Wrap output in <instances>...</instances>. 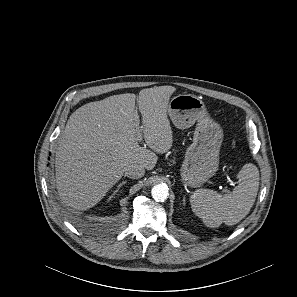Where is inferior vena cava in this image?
<instances>
[{
	"instance_id": "inferior-vena-cava-1",
	"label": "inferior vena cava",
	"mask_w": 297,
	"mask_h": 297,
	"mask_svg": "<svg viewBox=\"0 0 297 297\" xmlns=\"http://www.w3.org/2000/svg\"><path fill=\"white\" fill-rule=\"evenodd\" d=\"M145 174V169L141 165H129L125 168V176L131 179H139Z\"/></svg>"
}]
</instances>
